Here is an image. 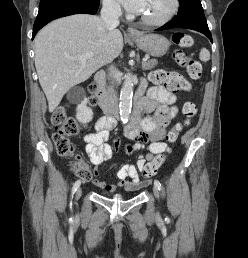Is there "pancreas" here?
I'll use <instances>...</instances> for the list:
<instances>
[{"instance_id":"pancreas-1","label":"pancreas","mask_w":248,"mask_h":258,"mask_svg":"<svg viewBox=\"0 0 248 258\" xmlns=\"http://www.w3.org/2000/svg\"><path fill=\"white\" fill-rule=\"evenodd\" d=\"M157 65V60L156 59H151L147 62H143L142 63V67L144 70H150V69H153L155 68Z\"/></svg>"}]
</instances>
